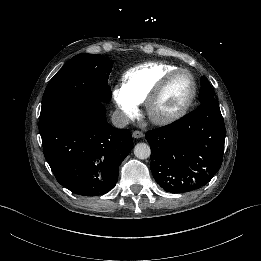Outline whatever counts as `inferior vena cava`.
Returning a JSON list of instances; mask_svg holds the SVG:
<instances>
[{
	"label": "inferior vena cava",
	"instance_id": "1",
	"mask_svg": "<svg viewBox=\"0 0 261 261\" xmlns=\"http://www.w3.org/2000/svg\"><path fill=\"white\" fill-rule=\"evenodd\" d=\"M112 123L117 128H123L130 124L129 117L120 110H115L111 116Z\"/></svg>",
	"mask_w": 261,
	"mask_h": 261
}]
</instances>
